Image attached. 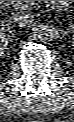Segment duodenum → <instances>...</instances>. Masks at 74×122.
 Returning <instances> with one entry per match:
<instances>
[{"label":"duodenum","instance_id":"410a0bca","mask_svg":"<svg viewBox=\"0 0 74 122\" xmlns=\"http://www.w3.org/2000/svg\"><path fill=\"white\" fill-rule=\"evenodd\" d=\"M12 1H2L4 5H9Z\"/></svg>","mask_w":74,"mask_h":122}]
</instances>
